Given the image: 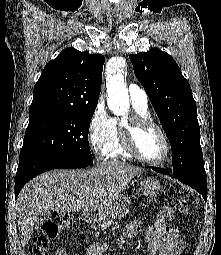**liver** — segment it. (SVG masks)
Wrapping results in <instances>:
<instances>
[{
	"label": "liver",
	"instance_id": "6515ba94",
	"mask_svg": "<svg viewBox=\"0 0 221 255\" xmlns=\"http://www.w3.org/2000/svg\"><path fill=\"white\" fill-rule=\"evenodd\" d=\"M140 168L111 161L86 170H53L24 186L17 202L21 245L30 240L37 217L47 211L85 212L104 208L123 192Z\"/></svg>",
	"mask_w": 221,
	"mask_h": 255
}]
</instances>
